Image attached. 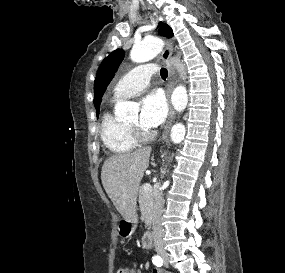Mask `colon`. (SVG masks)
<instances>
[{
	"label": "colon",
	"instance_id": "colon-1",
	"mask_svg": "<svg viewBox=\"0 0 285 273\" xmlns=\"http://www.w3.org/2000/svg\"><path fill=\"white\" fill-rule=\"evenodd\" d=\"M117 273H131V270L127 267H120Z\"/></svg>",
	"mask_w": 285,
	"mask_h": 273
}]
</instances>
